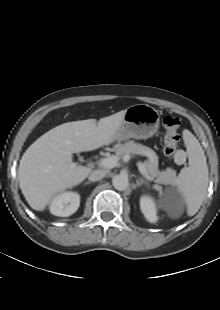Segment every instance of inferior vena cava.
Masks as SVG:
<instances>
[{
  "mask_svg": "<svg viewBox=\"0 0 220 310\" xmlns=\"http://www.w3.org/2000/svg\"><path fill=\"white\" fill-rule=\"evenodd\" d=\"M106 174H107V171L105 170H94L91 172L88 179L90 181H99L103 179L106 176Z\"/></svg>",
  "mask_w": 220,
  "mask_h": 310,
  "instance_id": "1",
  "label": "inferior vena cava"
}]
</instances>
